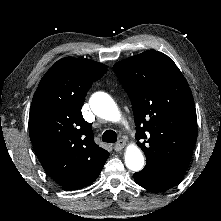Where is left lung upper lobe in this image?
<instances>
[{"label":"left lung upper lobe","instance_id":"left-lung-upper-lobe-1","mask_svg":"<svg viewBox=\"0 0 221 221\" xmlns=\"http://www.w3.org/2000/svg\"><path fill=\"white\" fill-rule=\"evenodd\" d=\"M114 71L132 102L135 138L146 156L141 172L184 174L197 139V117L179 68L165 54L148 50L116 63Z\"/></svg>","mask_w":221,"mask_h":221}]
</instances>
